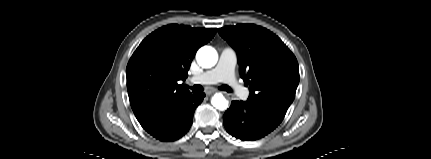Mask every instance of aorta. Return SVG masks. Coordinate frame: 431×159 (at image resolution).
Segmentation results:
<instances>
[{"mask_svg":"<svg viewBox=\"0 0 431 159\" xmlns=\"http://www.w3.org/2000/svg\"><path fill=\"white\" fill-rule=\"evenodd\" d=\"M196 60L201 67L211 68L218 61L217 51L211 46H203L197 51ZM211 104L221 111L228 108V100L220 93L212 97Z\"/></svg>","mask_w":431,"mask_h":159,"instance_id":"obj_1","label":"aorta"}]
</instances>
